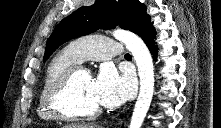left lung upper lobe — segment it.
I'll return each instance as SVG.
<instances>
[{
    "label": "left lung upper lobe",
    "instance_id": "obj_1",
    "mask_svg": "<svg viewBox=\"0 0 221 128\" xmlns=\"http://www.w3.org/2000/svg\"><path fill=\"white\" fill-rule=\"evenodd\" d=\"M118 24L142 39L153 28L146 6L139 0H96L94 5L77 9L55 27L47 41L43 61L70 39L93 33L99 28H115Z\"/></svg>",
    "mask_w": 221,
    "mask_h": 128
}]
</instances>
